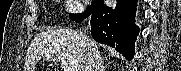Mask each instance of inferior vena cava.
I'll return each mask as SVG.
<instances>
[{
  "label": "inferior vena cava",
  "mask_w": 181,
  "mask_h": 71,
  "mask_svg": "<svg viewBox=\"0 0 181 71\" xmlns=\"http://www.w3.org/2000/svg\"><path fill=\"white\" fill-rule=\"evenodd\" d=\"M87 27L79 32L81 43L86 51L84 71H101V58L96 43L86 35Z\"/></svg>",
  "instance_id": "602c4592"
}]
</instances>
